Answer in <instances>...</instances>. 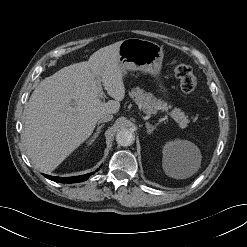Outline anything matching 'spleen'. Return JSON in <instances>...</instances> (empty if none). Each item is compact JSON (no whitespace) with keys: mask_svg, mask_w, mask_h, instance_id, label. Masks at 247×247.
I'll list each match as a JSON object with an SVG mask.
<instances>
[{"mask_svg":"<svg viewBox=\"0 0 247 247\" xmlns=\"http://www.w3.org/2000/svg\"><path fill=\"white\" fill-rule=\"evenodd\" d=\"M170 174L172 175V176H175V177H185V175H183V174H181V173H175L174 171H170Z\"/></svg>","mask_w":247,"mask_h":247,"instance_id":"3e777b00","label":"spleen"}]
</instances>
